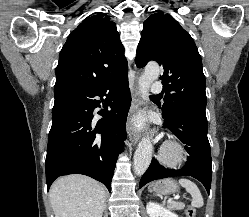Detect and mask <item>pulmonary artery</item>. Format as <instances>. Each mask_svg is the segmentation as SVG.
Listing matches in <instances>:
<instances>
[{
  "label": "pulmonary artery",
  "instance_id": "obj_1",
  "mask_svg": "<svg viewBox=\"0 0 249 217\" xmlns=\"http://www.w3.org/2000/svg\"><path fill=\"white\" fill-rule=\"evenodd\" d=\"M150 91L153 94H161L162 93V84L158 81L152 83Z\"/></svg>",
  "mask_w": 249,
  "mask_h": 217
}]
</instances>
